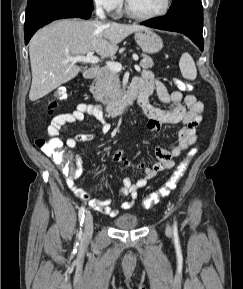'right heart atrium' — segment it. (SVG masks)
<instances>
[{"label":"right heart atrium","instance_id":"right-heart-atrium-1","mask_svg":"<svg viewBox=\"0 0 243 289\" xmlns=\"http://www.w3.org/2000/svg\"><path fill=\"white\" fill-rule=\"evenodd\" d=\"M102 9L117 14L122 7V0H93Z\"/></svg>","mask_w":243,"mask_h":289}]
</instances>
